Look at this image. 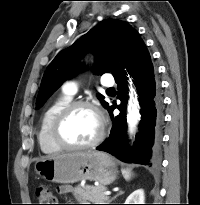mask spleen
Returning <instances> with one entry per match:
<instances>
[{"mask_svg": "<svg viewBox=\"0 0 200 205\" xmlns=\"http://www.w3.org/2000/svg\"><path fill=\"white\" fill-rule=\"evenodd\" d=\"M122 174L126 180H130L132 173L127 169H122Z\"/></svg>", "mask_w": 200, "mask_h": 205, "instance_id": "spleen-1", "label": "spleen"}]
</instances>
